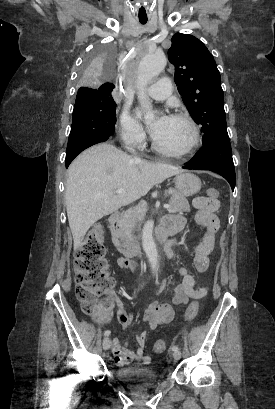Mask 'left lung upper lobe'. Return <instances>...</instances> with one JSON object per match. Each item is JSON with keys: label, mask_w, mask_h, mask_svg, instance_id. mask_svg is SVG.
<instances>
[{"label": "left lung upper lobe", "mask_w": 275, "mask_h": 409, "mask_svg": "<svg viewBox=\"0 0 275 409\" xmlns=\"http://www.w3.org/2000/svg\"><path fill=\"white\" fill-rule=\"evenodd\" d=\"M168 58L175 66L174 81L192 118L202 126L203 146L229 139L220 73L213 55L196 37L176 33Z\"/></svg>", "instance_id": "1"}]
</instances>
